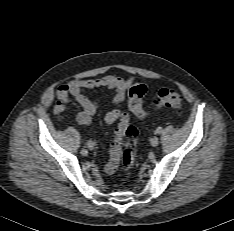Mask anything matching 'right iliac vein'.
I'll list each match as a JSON object with an SVG mask.
<instances>
[{
	"mask_svg": "<svg viewBox=\"0 0 234 231\" xmlns=\"http://www.w3.org/2000/svg\"><path fill=\"white\" fill-rule=\"evenodd\" d=\"M81 154H82L83 156H86V155L88 154V151H87L86 149H82V150H81Z\"/></svg>",
	"mask_w": 234,
	"mask_h": 231,
	"instance_id": "obj_1",
	"label": "right iliac vein"
}]
</instances>
